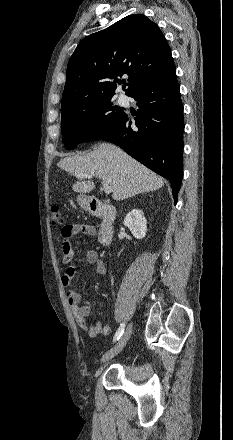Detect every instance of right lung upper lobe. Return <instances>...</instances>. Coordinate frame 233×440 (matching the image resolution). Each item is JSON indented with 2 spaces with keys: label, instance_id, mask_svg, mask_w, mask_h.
I'll use <instances>...</instances> for the list:
<instances>
[{
  "label": "right lung upper lobe",
  "instance_id": "cb5924a9",
  "mask_svg": "<svg viewBox=\"0 0 233 440\" xmlns=\"http://www.w3.org/2000/svg\"><path fill=\"white\" fill-rule=\"evenodd\" d=\"M173 67L171 50L159 27L142 14L127 16L80 41L67 65L61 109L113 97L117 77L124 74L129 75L125 92L130 96Z\"/></svg>",
  "mask_w": 233,
  "mask_h": 440
}]
</instances>
